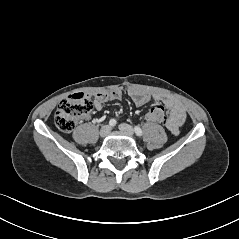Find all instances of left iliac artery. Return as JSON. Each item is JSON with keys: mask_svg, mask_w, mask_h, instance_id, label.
<instances>
[{"mask_svg": "<svg viewBox=\"0 0 239 239\" xmlns=\"http://www.w3.org/2000/svg\"><path fill=\"white\" fill-rule=\"evenodd\" d=\"M134 130L137 136H142L143 132L140 127L136 126Z\"/></svg>", "mask_w": 239, "mask_h": 239, "instance_id": "44dca946", "label": "left iliac artery"}]
</instances>
